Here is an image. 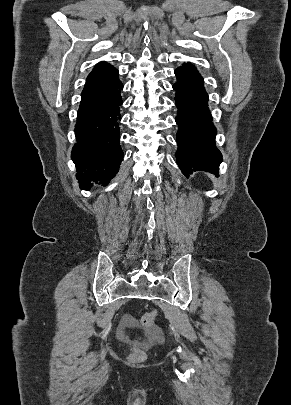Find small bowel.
<instances>
[{"label": "small bowel", "instance_id": "obj_1", "mask_svg": "<svg viewBox=\"0 0 291 405\" xmlns=\"http://www.w3.org/2000/svg\"><path fill=\"white\" fill-rule=\"evenodd\" d=\"M122 325L125 327H132L134 325L133 318L128 314L124 315L122 318Z\"/></svg>", "mask_w": 291, "mask_h": 405}]
</instances>
